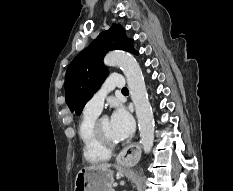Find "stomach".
<instances>
[{
  "label": "stomach",
  "instance_id": "stomach-1",
  "mask_svg": "<svg viewBox=\"0 0 233 191\" xmlns=\"http://www.w3.org/2000/svg\"><path fill=\"white\" fill-rule=\"evenodd\" d=\"M114 182L110 169L82 168L76 175L74 191H110Z\"/></svg>",
  "mask_w": 233,
  "mask_h": 191
}]
</instances>
